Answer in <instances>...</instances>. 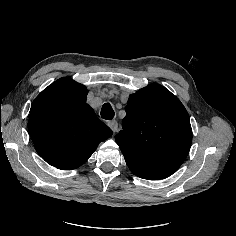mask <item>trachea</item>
<instances>
[{
  "instance_id": "3493384b",
  "label": "trachea",
  "mask_w": 236,
  "mask_h": 236,
  "mask_svg": "<svg viewBox=\"0 0 236 236\" xmlns=\"http://www.w3.org/2000/svg\"><path fill=\"white\" fill-rule=\"evenodd\" d=\"M101 117L106 120L112 119L114 117V111L109 103H106L102 106Z\"/></svg>"
}]
</instances>
